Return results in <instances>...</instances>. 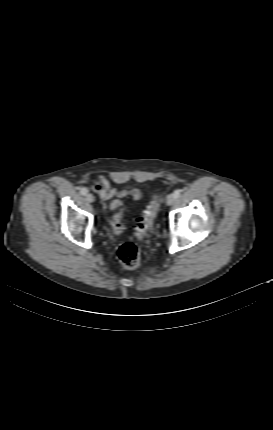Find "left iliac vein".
Returning a JSON list of instances; mask_svg holds the SVG:
<instances>
[{
	"label": "left iliac vein",
	"instance_id": "4c4485c4",
	"mask_svg": "<svg viewBox=\"0 0 273 430\" xmlns=\"http://www.w3.org/2000/svg\"><path fill=\"white\" fill-rule=\"evenodd\" d=\"M175 201V196L173 194H169L166 199L167 205H172Z\"/></svg>",
	"mask_w": 273,
	"mask_h": 430
}]
</instances>
